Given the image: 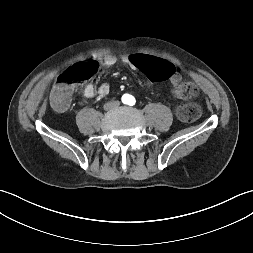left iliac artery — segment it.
<instances>
[{
	"mask_svg": "<svg viewBox=\"0 0 253 253\" xmlns=\"http://www.w3.org/2000/svg\"><path fill=\"white\" fill-rule=\"evenodd\" d=\"M135 98L134 97H131L130 99H129V105H134L135 104Z\"/></svg>",
	"mask_w": 253,
	"mask_h": 253,
	"instance_id": "left-iliac-artery-1",
	"label": "left iliac artery"
}]
</instances>
